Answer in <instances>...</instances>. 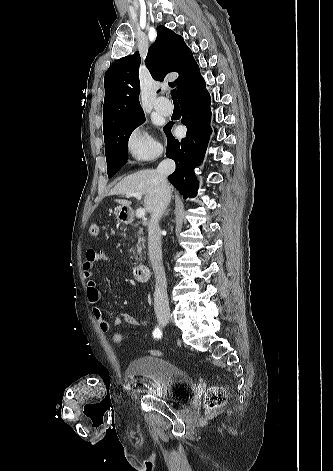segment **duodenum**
<instances>
[{"label":"duodenum","instance_id":"410a0bca","mask_svg":"<svg viewBox=\"0 0 333 471\" xmlns=\"http://www.w3.org/2000/svg\"><path fill=\"white\" fill-rule=\"evenodd\" d=\"M131 220H132V215H131L130 211L127 210L125 212V215H124V221L126 223H130ZM133 274H134L135 279L138 282H146L149 279V276H150V269H149L147 264L140 263V264L135 266V268L133 270Z\"/></svg>","mask_w":333,"mask_h":471}]
</instances>
